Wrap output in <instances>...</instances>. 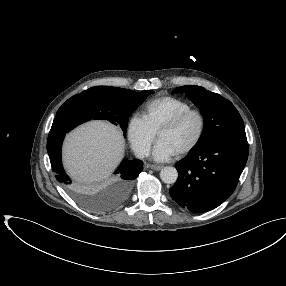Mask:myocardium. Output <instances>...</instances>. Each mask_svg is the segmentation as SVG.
I'll return each mask as SVG.
<instances>
[{"mask_svg": "<svg viewBox=\"0 0 286 286\" xmlns=\"http://www.w3.org/2000/svg\"><path fill=\"white\" fill-rule=\"evenodd\" d=\"M191 115H196L199 119V130L198 133L196 135V137L194 138V140L185 148H183L182 150H180L179 152H177L178 155H185L190 153L191 151H193L202 141L204 134H205V130H206V118L204 113L197 108H189L185 111H182L178 114H176L175 116L171 117L170 119H168L166 122H164L161 127L159 128V130L157 131V137L159 138L160 134L165 131V130H169L172 129L176 126H178L180 123H182L186 118H188Z\"/></svg>", "mask_w": 286, "mask_h": 286, "instance_id": "obj_1", "label": "myocardium"}]
</instances>
